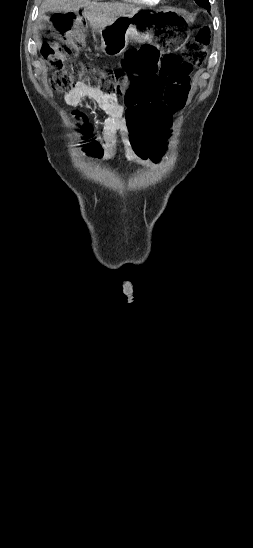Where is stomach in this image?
<instances>
[{"label":"stomach","instance_id":"stomach-1","mask_svg":"<svg viewBox=\"0 0 253 548\" xmlns=\"http://www.w3.org/2000/svg\"><path fill=\"white\" fill-rule=\"evenodd\" d=\"M186 22L185 16L175 10L139 9L99 30L100 46L97 49L109 56H119L129 41L135 40L158 45L163 51L175 50L189 35Z\"/></svg>","mask_w":253,"mask_h":548}]
</instances>
